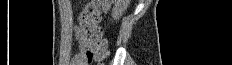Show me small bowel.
<instances>
[{
	"label": "small bowel",
	"instance_id": "1",
	"mask_svg": "<svg viewBox=\"0 0 232 65\" xmlns=\"http://www.w3.org/2000/svg\"><path fill=\"white\" fill-rule=\"evenodd\" d=\"M75 38L79 44V52L71 60L72 65H84L88 62L87 40L81 23L75 29Z\"/></svg>",
	"mask_w": 232,
	"mask_h": 65
}]
</instances>
